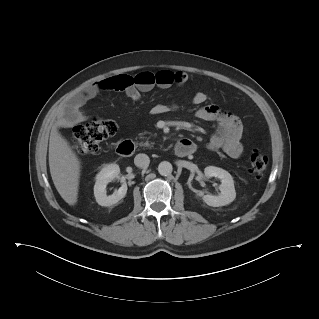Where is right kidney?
<instances>
[{
  "instance_id": "1",
  "label": "right kidney",
  "mask_w": 319,
  "mask_h": 319,
  "mask_svg": "<svg viewBox=\"0 0 319 319\" xmlns=\"http://www.w3.org/2000/svg\"><path fill=\"white\" fill-rule=\"evenodd\" d=\"M120 177V168L117 164H109L101 169L96 176V183L94 185V196L96 202L101 206H111L122 198L127 193V184L123 180L121 187L115 191L112 195H106V186L115 178Z\"/></svg>"
}]
</instances>
